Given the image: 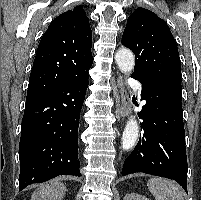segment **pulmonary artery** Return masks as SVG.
<instances>
[{
    "mask_svg": "<svg viewBox=\"0 0 201 200\" xmlns=\"http://www.w3.org/2000/svg\"><path fill=\"white\" fill-rule=\"evenodd\" d=\"M132 85L133 86H139V84L137 82H133Z\"/></svg>",
    "mask_w": 201,
    "mask_h": 200,
    "instance_id": "1",
    "label": "pulmonary artery"
}]
</instances>
